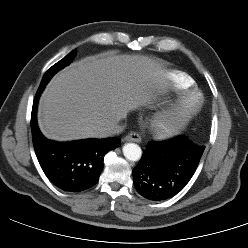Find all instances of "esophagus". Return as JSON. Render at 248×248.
<instances>
[{"instance_id":"1","label":"esophagus","mask_w":248,"mask_h":248,"mask_svg":"<svg viewBox=\"0 0 248 248\" xmlns=\"http://www.w3.org/2000/svg\"><path fill=\"white\" fill-rule=\"evenodd\" d=\"M124 141H131V142L140 143L141 142V136L136 132H131L124 137Z\"/></svg>"}]
</instances>
